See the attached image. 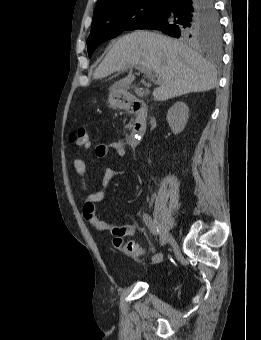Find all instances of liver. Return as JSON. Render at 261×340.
Returning <instances> with one entry per match:
<instances>
[{
	"label": "liver",
	"mask_w": 261,
	"mask_h": 340,
	"mask_svg": "<svg viewBox=\"0 0 261 340\" xmlns=\"http://www.w3.org/2000/svg\"><path fill=\"white\" fill-rule=\"evenodd\" d=\"M143 65L159 78L160 86L153 91L157 101L208 91L217 85L215 68L199 53L176 39L149 31H135L118 39L96 68L93 78L102 79ZM134 79L130 71L112 88H127Z\"/></svg>",
	"instance_id": "obj_1"
}]
</instances>
